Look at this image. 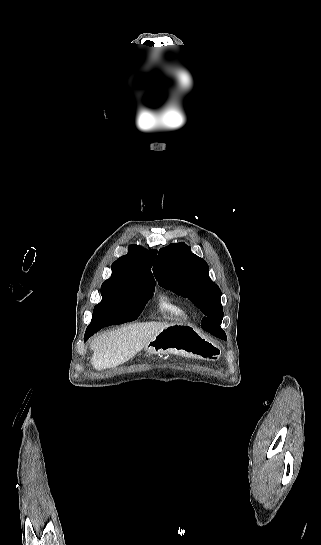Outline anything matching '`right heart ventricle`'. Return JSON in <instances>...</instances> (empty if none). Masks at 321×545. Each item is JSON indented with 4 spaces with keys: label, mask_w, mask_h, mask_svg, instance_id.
I'll list each match as a JSON object with an SVG mask.
<instances>
[{
    "label": "right heart ventricle",
    "mask_w": 321,
    "mask_h": 545,
    "mask_svg": "<svg viewBox=\"0 0 321 545\" xmlns=\"http://www.w3.org/2000/svg\"><path fill=\"white\" fill-rule=\"evenodd\" d=\"M157 307L168 320L173 322H185L188 320V309L186 305L168 295L161 294L157 298Z\"/></svg>",
    "instance_id": "obj_1"
}]
</instances>
